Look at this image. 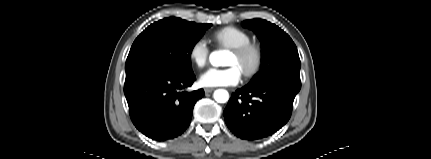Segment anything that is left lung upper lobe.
Listing matches in <instances>:
<instances>
[{
	"instance_id": "1",
	"label": "left lung upper lobe",
	"mask_w": 431,
	"mask_h": 159,
	"mask_svg": "<svg viewBox=\"0 0 431 159\" xmlns=\"http://www.w3.org/2000/svg\"><path fill=\"white\" fill-rule=\"evenodd\" d=\"M243 25L255 32L262 45L261 69L247 86H257L277 77L300 81L298 51L288 34L262 19L246 20Z\"/></svg>"
}]
</instances>
